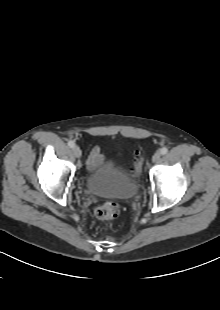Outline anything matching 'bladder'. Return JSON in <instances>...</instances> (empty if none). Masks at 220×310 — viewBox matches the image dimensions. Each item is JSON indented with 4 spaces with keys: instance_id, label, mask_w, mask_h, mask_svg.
I'll list each match as a JSON object with an SVG mask.
<instances>
[{
    "instance_id": "31cf9c89",
    "label": "bladder",
    "mask_w": 220,
    "mask_h": 310,
    "mask_svg": "<svg viewBox=\"0 0 220 310\" xmlns=\"http://www.w3.org/2000/svg\"><path fill=\"white\" fill-rule=\"evenodd\" d=\"M85 187L92 194L121 199L133 198L138 190L129 173L110 159L86 175Z\"/></svg>"
}]
</instances>
